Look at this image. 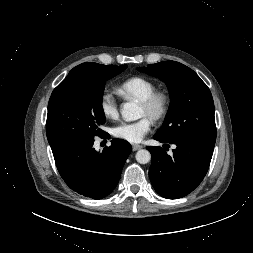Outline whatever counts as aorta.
Listing matches in <instances>:
<instances>
[{"mask_svg":"<svg viewBox=\"0 0 253 253\" xmlns=\"http://www.w3.org/2000/svg\"><path fill=\"white\" fill-rule=\"evenodd\" d=\"M121 115L125 120L134 121L141 117V108L134 102L129 101L123 104L121 109ZM135 158L140 164H147L151 160V154L146 149L137 151Z\"/></svg>","mask_w":253,"mask_h":253,"instance_id":"1","label":"aorta"}]
</instances>
